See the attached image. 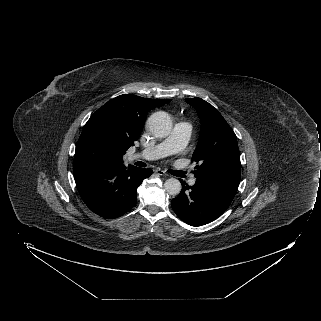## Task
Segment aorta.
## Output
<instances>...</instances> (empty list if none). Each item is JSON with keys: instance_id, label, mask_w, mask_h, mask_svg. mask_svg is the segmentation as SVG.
<instances>
[{"instance_id": "obj_1", "label": "aorta", "mask_w": 321, "mask_h": 321, "mask_svg": "<svg viewBox=\"0 0 321 321\" xmlns=\"http://www.w3.org/2000/svg\"><path fill=\"white\" fill-rule=\"evenodd\" d=\"M148 128L150 132L159 138L167 137L172 129V121L168 113L158 111L153 113L148 121ZM164 188L170 195H178L181 191V183L175 178H170L165 181Z\"/></svg>"}]
</instances>
